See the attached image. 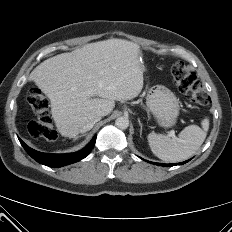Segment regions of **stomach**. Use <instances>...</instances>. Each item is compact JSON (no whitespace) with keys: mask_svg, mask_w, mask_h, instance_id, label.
<instances>
[{"mask_svg":"<svg viewBox=\"0 0 232 232\" xmlns=\"http://www.w3.org/2000/svg\"><path fill=\"white\" fill-rule=\"evenodd\" d=\"M146 104L158 124L162 127L175 125L179 115V100L164 86L152 87L146 98Z\"/></svg>","mask_w":232,"mask_h":232,"instance_id":"0dacf381","label":"stomach"}]
</instances>
